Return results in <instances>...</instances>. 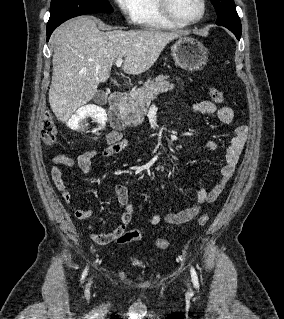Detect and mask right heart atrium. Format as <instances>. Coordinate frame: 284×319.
Listing matches in <instances>:
<instances>
[{
	"label": "right heart atrium",
	"mask_w": 284,
	"mask_h": 319,
	"mask_svg": "<svg viewBox=\"0 0 284 319\" xmlns=\"http://www.w3.org/2000/svg\"><path fill=\"white\" fill-rule=\"evenodd\" d=\"M114 3L129 24H137L140 0H114Z\"/></svg>",
	"instance_id": "right-heart-atrium-1"
}]
</instances>
